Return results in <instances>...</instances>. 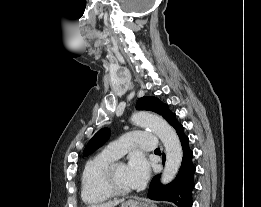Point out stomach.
<instances>
[{"instance_id":"obj_1","label":"stomach","mask_w":261,"mask_h":207,"mask_svg":"<svg viewBox=\"0 0 261 207\" xmlns=\"http://www.w3.org/2000/svg\"><path fill=\"white\" fill-rule=\"evenodd\" d=\"M120 207H157L148 200H128L123 202Z\"/></svg>"}]
</instances>
